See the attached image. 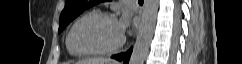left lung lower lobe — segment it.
<instances>
[{"mask_svg": "<svg viewBox=\"0 0 242 64\" xmlns=\"http://www.w3.org/2000/svg\"><path fill=\"white\" fill-rule=\"evenodd\" d=\"M132 53V48H130L126 53H120L117 55H113L112 58L118 61H123L124 64H128L130 56Z\"/></svg>", "mask_w": 242, "mask_h": 64, "instance_id": "0a47b994", "label": "left lung lower lobe"}]
</instances>
